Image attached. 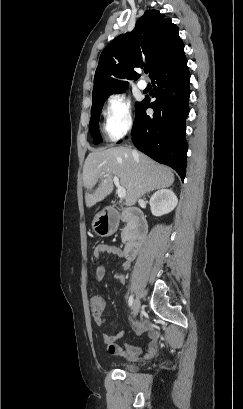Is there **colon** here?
Returning <instances> with one entry per match:
<instances>
[{
    "mask_svg": "<svg viewBox=\"0 0 243 409\" xmlns=\"http://www.w3.org/2000/svg\"><path fill=\"white\" fill-rule=\"evenodd\" d=\"M91 307L94 311L99 310L103 307V299L101 296L96 295L91 299Z\"/></svg>",
    "mask_w": 243,
    "mask_h": 409,
    "instance_id": "1",
    "label": "colon"
}]
</instances>
